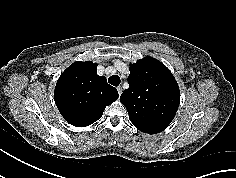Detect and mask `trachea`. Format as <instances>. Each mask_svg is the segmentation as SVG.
Returning a JSON list of instances; mask_svg holds the SVG:
<instances>
[{
  "mask_svg": "<svg viewBox=\"0 0 236 178\" xmlns=\"http://www.w3.org/2000/svg\"><path fill=\"white\" fill-rule=\"evenodd\" d=\"M108 82L113 86H118L121 83V79L118 75H112L108 78Z\"/></svg>",
  "mask_w": 236,
  "mask_h": 178,
  "instance_id": "obj_1",
  "label": "trachea"
}]
</instances>
